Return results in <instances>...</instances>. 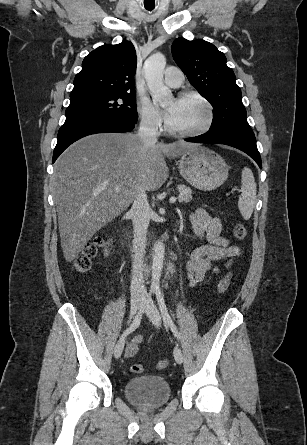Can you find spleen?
I'll return each mask as SVG.
<instances>
[{"label":"spleen","mask_w":307,"mask_h":445,"mask_svg":"<svg viewBox=\"0 0 307 445\" xmlns=\"http://www.w3.org/2000/svg\"><path fill=\"white\" fill-rule=\"evenodd\" d=\"M241 194L238 200V208L245 220L250 218L256 204V182L250 168L244 166L241 176Z\"/></svg>","instance_id":"spleen-1"}]
</instances>
